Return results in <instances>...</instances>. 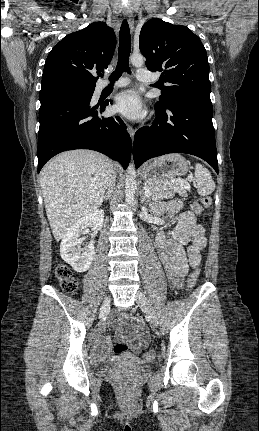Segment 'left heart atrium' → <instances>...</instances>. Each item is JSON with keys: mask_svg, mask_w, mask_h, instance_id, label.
Masks as SVG:
<instances>
[{"mask_svg": "<svg viewBox=\"0 0 259 431\" xmlns=\"http://www.w3.org/2000/svg\"><path fill=\"white\" fill-rule=\"evenodd\" d=\"M114 109L119 114L130 119H139L145 115L143 103L138 93L134 90L120 93L116 97Z\"/></svg>", "mask_w": 259, "mask_h": 431, "instance_id": "39dd6f15", "label": "left heart atrium"}]
</instances>
